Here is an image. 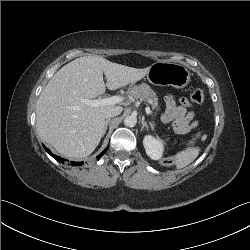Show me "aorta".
Wrapping results in <instances>:
<instances>
[{
  "instance_id": "762f6f07",
  "label": "aorta",
  "mask_w": 250,
  "mask_h": 250,
  "mask_svg": "<svg viewBox=\"0 0 250 250\" xmlns=\"http://www.w3.org/2000/svg\"><path fill=\"white\" fill-rule=\"evenodd\" d=\"M137 123V118L133 115L127 116L124 120V125L127 127H134Z\"/></svg>"
}]
</instances>
